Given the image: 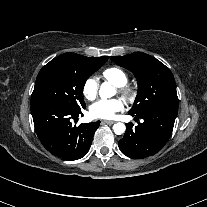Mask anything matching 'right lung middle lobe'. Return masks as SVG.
<instances>
[{"label": "right lung middle lobe", "mask_w": 207, "mask_h": 207, "mask_svg": "<svg viewBox=\"0 0 207 207\" xmlns=\"http://www.w3.org/2000/svg\"><path fill=\"white\" fill-rule=\"evenodd\" d=\"M106 61L107 58H88L75 53L54 58L37 76L31 106L51 102L71 110L85 108L84 84Z\"/></svg>", "instance_id": "dd1d6c3e"}]
</instances>
